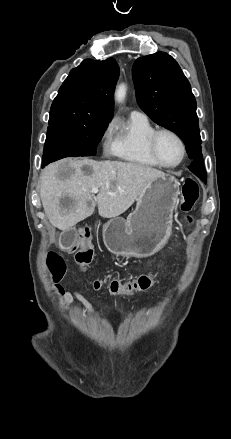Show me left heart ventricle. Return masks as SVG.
I'll return each instance as SVG.
<instances>
[{
    "instance_id": "b2bd125f",
    "label": "left heart ventricle",
    "mask_w": 231,
    "mask_h": 439,
    "mask_svg": "<svg viewBox=\"0 0 231 439\" xmlns=\"http://www.w3.org/2000/svg\"><path fill=\"white\" fill-rule=\"evenodd\" d=\"M157 151L162 161L169 165L177 163L181 158V147L178 141L169 134L159 136Z\"/></svg>"
}]
</instances>
